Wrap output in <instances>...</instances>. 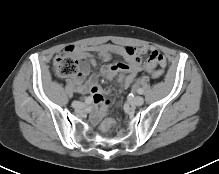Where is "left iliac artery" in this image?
<instances>
[{"mask_svg": "<svg viewBox=\"0 0 219 174\" xmlns=\"http://www.w3.org/2000/svg\"><path fill=\"white\" fill-rule=\"evenodd\" d=\"M137 92H138V94H143V90H142L141 88H139V89L137 90Z\"/></svg>", "mask_w": 219, "mask_h": 174, "instance_id": "left-iliac-artery-1", "label": "left iliac artery"}]
</instances>
